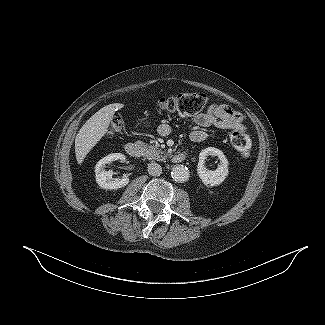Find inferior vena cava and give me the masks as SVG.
I'll list each match as a JSON object with an SVG mask.
<instances>
[{
	"label": "inferior vena cava",
	"mask_w": 325,
	"mask_h": 325,
	"mask_svg": "<svg viewBox=\"0 0 325 325\" xmlns=\"http://www.w3.org/2000/svg\"><path fill=\"white\" fill-rule=\"evenodd\" d=\"M148 173L152 176H159L162 173V167L155 162L149 163Z\"/></svg>",
	"instance_id": "inferior-vena-cava-1"
}]
</instances>
